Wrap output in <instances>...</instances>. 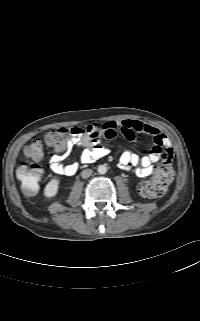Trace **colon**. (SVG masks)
Masks as SVG:
<instances>
[{"mask_svg": "<svg viewBox=\"0 0 200 321\" xmlns=\"http://www.w3.org/2000/svg\"><path fill=\"white\" fill-rule=\"evenodd\" d=\"M72 135L71 129L60 128L48 132L44 139L34 138L25 147L24 153L33 160H40L43 157V144L53 149L65 150L69 138ZM94 138H99L100 133H94ZM172 154L167 153L162 165L156 170L154 176L139 184L138 191L143 197L155 198L164 195L173 181L174 170L171 166ZM18 179L21 182L22 190L27 195H34L39 189V183L43 176V170L37 163L23 161L16 170Z\"/></svg>", "mask_w": 200, "mask_h": 321, "instance_id": "obj_1", "label": "colon"}]
</instances>
